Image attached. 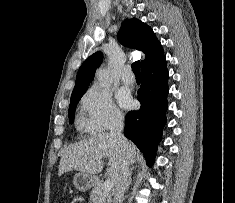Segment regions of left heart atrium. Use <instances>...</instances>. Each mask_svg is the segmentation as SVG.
Here are the masks:
<instances>
[{
    "mask_svg": "<svg viewBox=\"0 0 235 203\" xmlns=\"http://www.w3.org/2000/svg\"><path fill=\"white\" fill-rule=\"evenodd\" d=\"M118 101L120 105L123 106L124 108H130L133 104L132 98L125 91H122L118 94Z\"/></svg>",
    "mask_w": 235,
    "mask_h": 203,
    "instance_id": "obj_1",
    "label": "left heart atrium"
}]
</instances>
